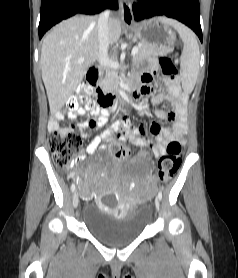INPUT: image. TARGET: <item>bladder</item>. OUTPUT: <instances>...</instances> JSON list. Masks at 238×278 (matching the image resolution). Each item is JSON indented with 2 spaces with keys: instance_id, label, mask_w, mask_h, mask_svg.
I'll return each instance as SVG.
<instances>
[{
  "instance_id": "1",
  "label": "bladder",
  "mask_w": 238,
  "mask_h": 278,
  "mask_svg": "<svg viewBox=\"0 0 238 278\" xmlns=\"http://www.w3.org/2000/svg\"><path fill=\"white\" fill-rule=\"evenodd\" d=\"M151 220L146 205H137L126 215L116 217L101 210L96 204H85L82 222L86 230L99 242L118 246L138 238Z\"/></svg>"
}]
</instances>
